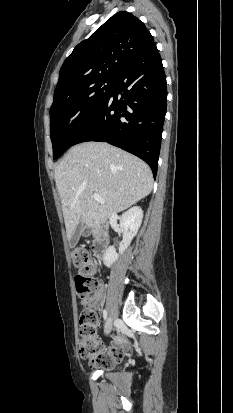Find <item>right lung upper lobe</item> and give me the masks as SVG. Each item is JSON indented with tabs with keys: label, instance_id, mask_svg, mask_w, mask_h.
<instances>
[{
	"label": "right lung upper lobe",
	"instance_id": "1",
	"mask_svg": "<svg viewBox=\"0 0 233 413\" xmlns=\"http://www.w3.org/2000/svg\"><path fill=\"white\" fill-rule=\"evenodd\" d=\"M153 43L152 35L137 17L126 11L116 13L78 44L64 61L54 101L96 81L115 78L124 65L142 55Z\"/></svg>",
	"mask_w": 233,
	"mask_h": 413
}]
</instances>
